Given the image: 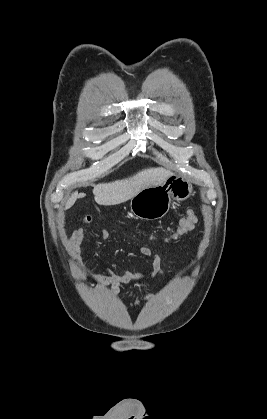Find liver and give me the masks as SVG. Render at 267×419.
Wrapping results in <instances>:
<instances>
[{"instance_id":"6515ba94","label":"liver","mask_w":267,"mask_h":419,"mask_svg":"<svg viewBox=\"0 0 267 419\" xmlns=\"http://www.w3.org/2000/svg\"><path fill=\"white\" fill-rule=\"evenodd\" d=\"M171 174L164 168H147L126 179L98 184L93 190L95 200L101 205L121 204L133 198L141 190L163 183ZM84 196V193H73L68 199L65 209L72 207L77 198Z\"/></svg>"}]
</instances>
